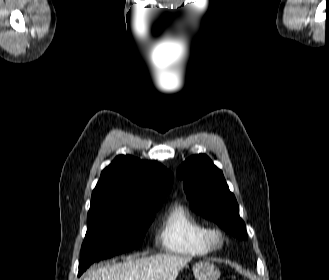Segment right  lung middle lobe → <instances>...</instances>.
Returning <instances> with one entry per match:
<instances>
[{
    "label": "right lung middle lobe",
    "mask_w": 329,
    "mask_h": 280,
    "mask_svg": "<svg viewBox=\"0 0 329 280\" xmlns=\"http://www.w3.org/2000/svg\"><path fill=\"white\" fill-rule=\"evenodd\" d=\"M163 201H110L97 204L88 213V228L81 248L78 276L95 261L139 247Z\"/></svg>",
    "instance_id": "obj_1"
}]
</instances>
